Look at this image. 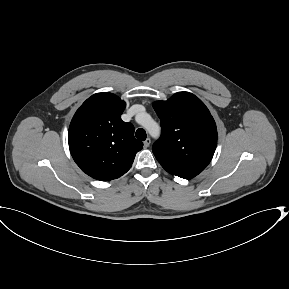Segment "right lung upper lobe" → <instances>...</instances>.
Returning a JSON list of instances; mask_svg holds the SVG:
<instances>
[{"mask_svg": "<svg viewBox=\"0 0 289 289\" xmlns=\"http://www.w3.org/2000/svg\"><path fill=\"white\" fill-rule=\"evenodd\" d=\"M125 102L112 93H97L76 111L69 127L71 155L83 172L109 181L125 174L143 143L134 126L122 121Z\"/></svg>", "mask_w": 289, "mask_h": 289, "instance_id": "cb5924a9", "label": "right lung upper lobe"}]
</instances>
